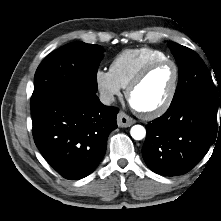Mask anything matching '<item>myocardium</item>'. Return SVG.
<instances>
[{
	"label": "myocardium",
	"mask_w": 221,
	"mask_h": 221,
	"mask_svg": "<svg viewBox=\"0 0 221 221\" xmlns=\"http://www.w3.org/2000/svg\"><path fill=\"white\" fill-rule=\"evenodd\" d=\"M165 64L171 65L174 70V78H173L172 86H171L166 98L156 108L151 109V110H146V111L135 108L136 111L144 118L152 119V118L159 117L162 114H164L171 106V104L175 98V95H176V92L178 89V84H179L180 73H179L178 65L173 60L168 59V58L152 61V62L146 64L135 75V77L130 81V83L126 87V97H127L128 101L132 104L131 96H132L133 91L145 80V78L149 75V73L153 69H155L158 66L165 65Z\"/></svg>",
	"instance_id": "f54148a6"
}]
</instances>
